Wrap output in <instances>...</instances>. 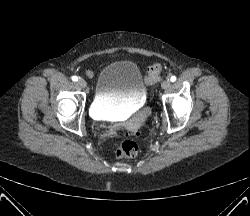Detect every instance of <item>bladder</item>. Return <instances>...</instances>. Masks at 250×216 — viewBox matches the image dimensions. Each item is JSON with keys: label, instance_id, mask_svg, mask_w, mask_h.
Masks as SVG:
<instances>
[{"label": "bladder", "instance_id": "31cf9c89", "mask_svg": "<svg viewBox=\"0 0 250 216\" xmlns=\"http://www.w3.org/2000/svg\"><path fill=\"white\" fill-rule=\"evenodd\" d=\"M146 86L138 66L129 60L104 66L96 81L91 112L98 118L119 117L144 106Z\"/></svg>", "mask_w": 250, "mask_h": 216}]
</instances>
